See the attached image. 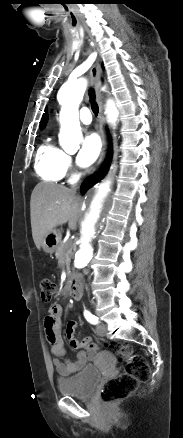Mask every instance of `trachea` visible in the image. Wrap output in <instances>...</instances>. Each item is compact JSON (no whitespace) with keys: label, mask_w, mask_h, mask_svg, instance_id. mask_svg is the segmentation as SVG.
Returning <instances> with one entry per match:
<instances>
[{"label":"trachea","mask_w":183,"mask_h":438,"mask_svg":"<svg viewBox=\"0 0 183 438\" xmlns=\"http://www.w3.org/2000/svg\"><path fill=\"white\" fill-rule=\"evenodd\" d=\"M89 96H90V101L92 103V106H91L92 111L95 114V116H97L98 112H99V107H98L97 103L95 102V93H94L93 89L89 90Z\"/></svg>","instance_id":"1"}]
</instances>
